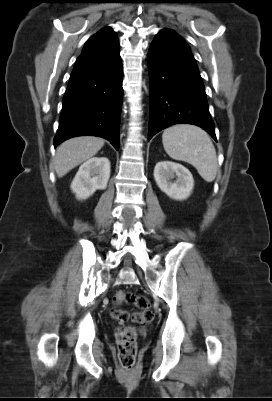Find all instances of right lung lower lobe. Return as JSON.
I'll list each match as a JSON object with an SVG mask.
<instances>
[{"instance_id":"obj_1","label":"right lung lower lobe","mask_w":272,"mask_h":401,"mask_svg":"<svg viewBox=\"0 0 272 401\" xmlns=\"http://www.w3.org/2000/svg\"><path fill=\"white\" fill-rule=\"evenodd\" d=\"M122 80L119 45L99 60L73 71L54 146L75 136L93 135L109 140L118 150Z\"/></svg>"}]
</instances>
